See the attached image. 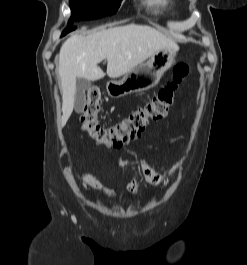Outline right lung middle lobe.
I'll return each instance as SVG.
<instances>
[{"label": "right lung middle lobe", "mask_w": 247, "mask_h": 265, "mask_svg": "<svg viewBox=\"0 0 247 265\" xmlns=\"http://www.w3.org/2000/svg\"><path fill=\"white\" fill-rule=\"evenodd\" d=\"M122 0H69L71 8V19L68 26L73 24V20H90L99 17L112 15L117 12Z\"/></svg>", "instance_id": "dd1d6c3e"}]
</instances>
